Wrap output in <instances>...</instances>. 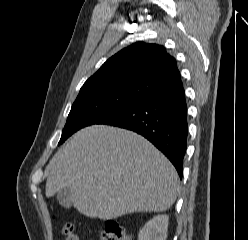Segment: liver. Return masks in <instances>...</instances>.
Segmentation results:
<instances>
[{"label": "liver", "mask_w": 248, "mask_h": 240, "mask_svg": "<svg viewBox=\"0 0 248 240\" xmlns=\"http://www.w3.org/2000/svg\"><path fill=\"white\" fill-rule=\"evenodd\" d=\"M46 197L70 188L73 206L109 220L132 212H163L179 192L170 161L144 137L125 129H81L47 166Z\"/></svg>", "instance_id": "1"}]
</instances>
